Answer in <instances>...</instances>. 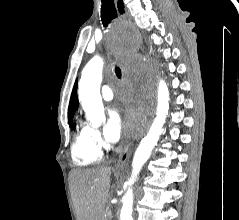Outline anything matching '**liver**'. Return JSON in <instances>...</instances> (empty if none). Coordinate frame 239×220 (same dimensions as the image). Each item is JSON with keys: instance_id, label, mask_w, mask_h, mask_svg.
<instances>
[{"instance_id": "1", "label": "liver", "mask_w": 239, "mask_h": 220, "mask_svg": "<svg viewBox=\"0 0 239 220\" xmlns=\"http://www.w3.org/2000/svg\"><path fill=\"white\" fill-rule=\"evenodd\" d=\"M111 167L74 169L69 174L77 220H102L110 190Z\"/></svg>"}]
</instances>
